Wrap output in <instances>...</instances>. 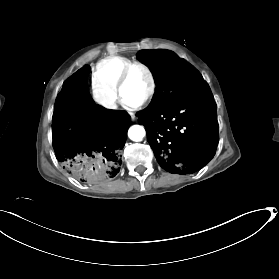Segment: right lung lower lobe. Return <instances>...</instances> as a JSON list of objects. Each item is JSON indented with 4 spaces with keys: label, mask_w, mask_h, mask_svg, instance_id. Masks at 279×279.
Returning a JSON list of instances; mask_svg holds the SVG:
<instances>
[{
    "label": "right lung lower lobe",
    "mask_w": 279,
    "mask_h": 279,
    "mask_svg": "<svg viewBox=\"0 0 279 279\" xmlns=\"http://www.w3.org/2000/svg\"><path fill=\"white\" fill-rule=\"evenodd\" d=\"M88 66L68 78L59 93L52 136L56 158L71 176L93 185L114 178L122 163L130 116L96 105L87 86Z\"/></svg>",
    "instance_id": "obj_1"
}]
</instances>
